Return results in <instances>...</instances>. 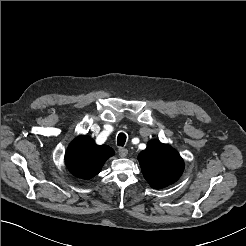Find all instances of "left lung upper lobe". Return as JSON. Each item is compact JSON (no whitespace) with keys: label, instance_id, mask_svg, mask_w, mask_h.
I'll return each instance as SVG.
<instances>
[{"label":"left lung upper lobe","instance_id":"5c2ea615","mask_svg":"<svg viewBox=\"0 0 246 246\" xmlns=\"http://www.w3.org/2000/svg\"><path fill=\"white\" fill-rule=\"evenodd\" d=\"M138 160L144 178L153 188H164L176 182L184 170L179 153L167 144L151 140L140 152Z\"/></svg>","mask_w":246,"mask_h":246}]
</instances>
